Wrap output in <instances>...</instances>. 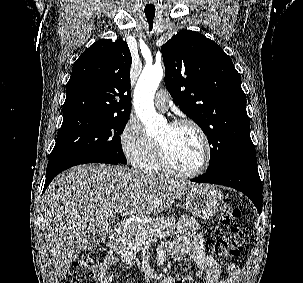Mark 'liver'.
Returning a JSON list of instances; mask_svg holds the SVG:
<instances>
[{"mask_svg": "<svg viewBox=\"0 0 303 283\" xmlns=\"http://www.w3.org/2000/svg\"><path fill=\"white\" fill-rule=\"evenodd\" d=\"M198 184L152 177L123 166L84 164L58 175L43 196L45 240L59 280L90 244L130 205L139 215L159 214Z\"/></svg>", "mask_w": 303, "mask_h": 283, "instance_id": "obj_1", "label": "liver"}]
</instances>
